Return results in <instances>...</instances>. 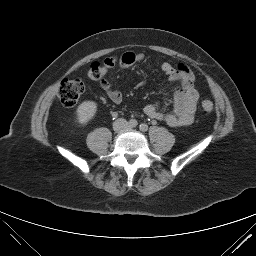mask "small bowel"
Instances as JSON below:
<instances>
[{"instance_id": "small-bowel-1", "label": "small bowel", "mask_w": 256, "mask_h": 256, "mask_svg": "<svg viewBox=\"0 0 256 256\" xmlns=\"http://www.w3.org/2000/svg\"><path fill=\"white\" fill-rule=\"evenodd\" d=\"M144 54L126 52L120 57H109L103 63V76L111 68L118 65L122 68H129L142 61ZM161 69L169 81L179 84V88L174 92V108L169 113L161 112L157 103H149L144 107V113L151 119L163 121L171 127L188 126L193 123L199 93L194 86V76L188 67L184 65L173 66L169 62H164ZM101 87L107 97L114 103L122 101V94L104 78L101 79Z\"/></svg>"}]
</instances>
